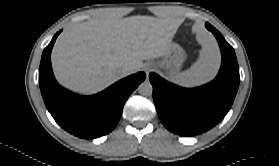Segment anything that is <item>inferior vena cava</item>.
<instances>
[{
    "label": "inferior vena cava",
    "mask_w": 279,
    "mask_h": 166,
    "mask_svg": "<svg viewBox=\"0 0 279 166\" xmlns=\"http://www.w3.org/2000/svg\"><path fill=\"white\" fill-rule=\"evenodd\" d=\"M133 69H134V68H133L132 66H129V65L123 66V67L121 68V74H122V76L124 77V76L129 75L130 73H132Z\"/></svg>",
    "instance_id": "inferior-vena-cava-1"
}]
</instances>
